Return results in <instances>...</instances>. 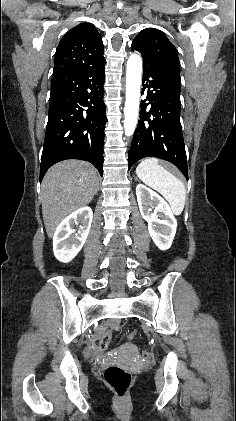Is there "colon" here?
Masks as SVG:
<instances>
[{
    "mask_svg": "<svg viewBox=\"0 0 236 421\" xmlns=\"http://www.w3.org/2000/svg\"><path fill=\"white\" fill-rule=\"evenodd\" d=\"M110 340V331L100 340L99 348L105 350ZM144 359H150L152 352L144 349L142 351ZM106 384L115 392L119 398H124L132 386L133 376L131 372L117 365H110L104 371Z\"/></svg>",
    "mask_w": 236,
    "mask_h": 421,
    "instance_id": "1",
    "label": "colon"
}]
</instances>
